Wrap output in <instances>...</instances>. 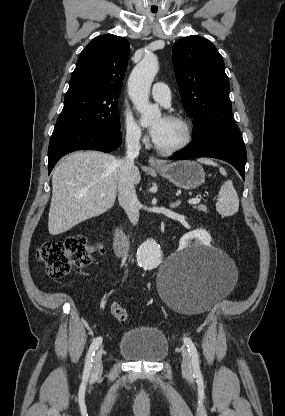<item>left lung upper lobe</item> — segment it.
<instances>
[{"mask_svg":"<svg viewBox=\"0 0 285 416\" xmlns=\"http://www.w3.org/2000/svg\"><path fill=\"white\" fill-rule=\"evenodd\" d=\"M172 60L182 103L194 122L193 138L236 126L224 61L216 47L202 37H184L174 44Z\"/></svg>","mask_w":285,"mask_h":416,"instance_id":"left-lung-upper-lobe-1","label":"left lung upper lobe"}]
</instances>
